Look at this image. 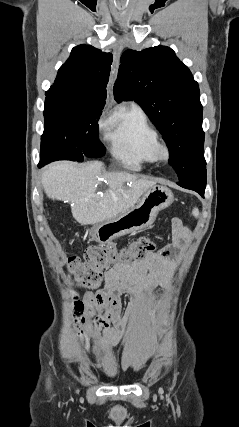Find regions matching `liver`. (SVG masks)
Masks as SVG:
<instances>
[{
    "label": "liver",
    "mask_w": 239,
    "mask_h": 427,
    "mask_svg": "<svg viewBox=\"0 0 239 427\" xmlns=\"http://www.w3.org/2000/svg\"><path fill=\"white\" fill-rule=\"evenodd\" d=\"M104 181L108 189L100 194ZM155 184L127 172H107L100 161L55 162L42 174L47 197L69 202L73 217L82 225L98 224L129 210Z\"/></svg>",
    "instance_id": "obj_1"
}]
</instances>
